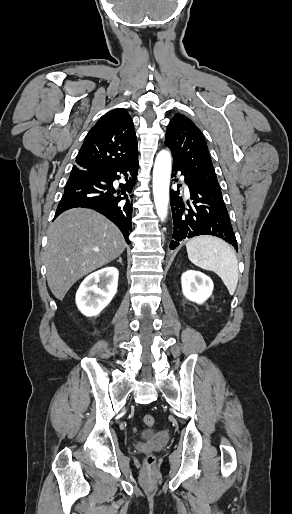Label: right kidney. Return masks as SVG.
<instances>
[{
    "instance_id": "1",
    "label": "right kidney",
    "mask_w": 292,
    "mask_h": 514,
    "mask_svg": "<svg viewBox=\"0 0 292 514\" xmlns=\"http://www.w3.org/2000/svg\"><path fill=\"white\" fill-rule=\"evenodd\" d=\"M118 276L117 268L109 266L83 280L77 290L76 304L84 316H97L110 304L117 292Z\"/></svg>"
}]
</instances>
